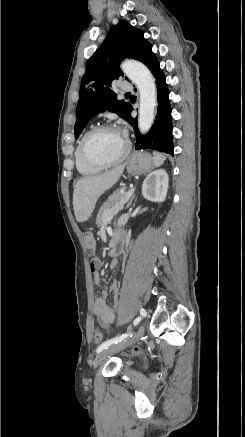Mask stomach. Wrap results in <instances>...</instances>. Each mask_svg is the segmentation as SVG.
Instances as JSON below:
<instances>
[{
  "label": "stomach",
  "mask_w": 245,
  "mask_h": 437,
  "mask_svg": "<svg viewBox=\"0 0 245 437\" xmlns=\"http://www.w3.org/2000/svg\"><path fill=\"white\" fill-rule=\"evenodd\" d=\"M153 167V157L147 152L132 154L127 163V172L132 175H141L149 172Z\"/></svg>",
  "instance_id": "stomach-1"
}]
</instances>
